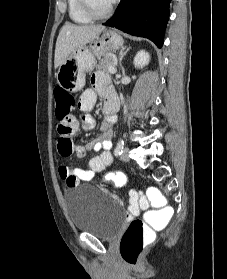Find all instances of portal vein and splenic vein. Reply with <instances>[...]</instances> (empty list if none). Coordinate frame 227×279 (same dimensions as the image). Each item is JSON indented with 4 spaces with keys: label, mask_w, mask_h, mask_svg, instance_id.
I'll list each match as a JSON object with an SVG mask.
<instances>
[{
    "label": "portal vein and splenic vein",
    "mask_w": 227,
    "mask_h": 279,
    "mask_svg": "<svg viewBox=\"0 0 227 279\" xmlns=\"http://www.w3.org/2000/svg\"><path fill=\"white\" fill-rule=\"evenodd\" d=\"M109 72L112 73V74H115V73H116V68L110 66V67H109Z\"/></svg>",
    "instance_id": "1"
}]
</instances>
